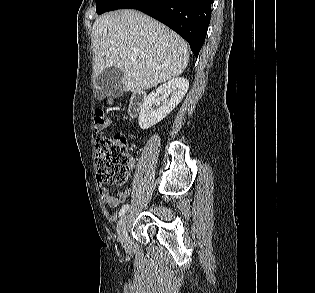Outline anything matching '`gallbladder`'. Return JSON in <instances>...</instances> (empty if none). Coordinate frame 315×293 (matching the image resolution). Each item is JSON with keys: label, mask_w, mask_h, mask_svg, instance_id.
Instances as JSON below:
<instances>
[{"label": "gallbladder", "mask_w": 315, "mask_h": 293, "mask_svg": "<svg viewBox=\"0 0 315 293\" xmlns=\"http://www.w3.org/2000/svg\"><path fill=\"white\" fill-rule=\"evenodd\" d=\"M123 71L117 67L104 69L97 77V83L100 86V93L103 89L110 92L114 97H120L123 94L122 88Z\"/></svg>", "instance_id": "gallbladder-1"}]
</instances>
